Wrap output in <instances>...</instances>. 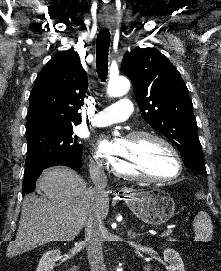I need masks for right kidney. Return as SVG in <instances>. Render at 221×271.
<instances>
[{"label":"right kidney","instance_id":"ca27d5eb","mask_svg":"<svg viewBox=\"0 0 221 271\" xmlns=\"http://www.w3.org/2000/svg\"><path fill=\"white\" fill-rule=\"evenodd\" d=\"M60 249H49L41 255L36 271H53L56 261L60 259Z\"/></svg>","mask_w":221,"mask_h":271}]
</instances>
